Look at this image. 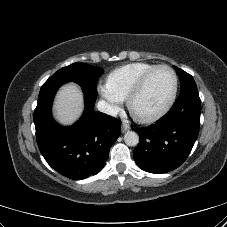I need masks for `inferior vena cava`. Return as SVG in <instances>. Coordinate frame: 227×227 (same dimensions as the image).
Returning <instances> with one entry per match:
<instances>
[{"label":"inferior vena cava","instance_id":"obj_1","mask_svg":"<svg viewBox=\"0 0 227 227\" xmlns=\"http://www.w3.org/2000/svg\"><path fill=\"white\" fill-rule=\"evenodd\" d=\"M97 108L99 111L108 114L110 116H116L117 110L115 107H113L111 104L106 102L105 100H100L97 104Z\"/></svg>","mask_w":227,"mask_h":227}]
</instances>
